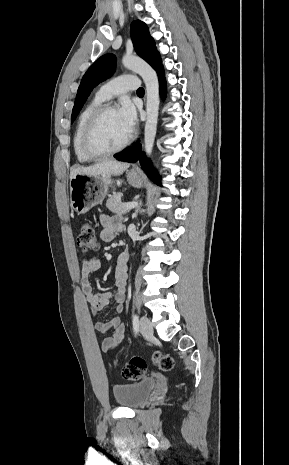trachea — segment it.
Wrapping results in <instances>:
<instances>
[{"label":"trachea","instance_id":"1","mask_svg":"<svg viewBox=\"0 0 289 465\" xmlns=\"http://www.w3.org/2000/svg\"><path fill=\"white\" fill-rule=\"evenodd\" d=\"M137 94H144V89L143 88H139L137 90Z\"/></svg>","mask_w":289,"mask_h":465}]
</instances>
